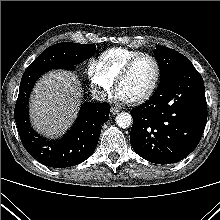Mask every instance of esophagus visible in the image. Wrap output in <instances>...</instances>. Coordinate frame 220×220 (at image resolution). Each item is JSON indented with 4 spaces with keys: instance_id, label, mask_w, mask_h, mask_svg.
<instances>
[{
    "instance_id": "1",
    "label": "esophagus",
    "mask_w": 220,
    "mask_h": 220,
    "mask_svg": "<svg viewBox=\"0 0 220 220\" xmlns=\"http://www.w3.org/2000/svg\"><path fill=\"white\" fill-rule=\"evenodd\" d=\"M119 111H120V110H119L118 108H116V107H111V113H112L113 115L117 114Z\"/></svg>"
}]
</instances>
